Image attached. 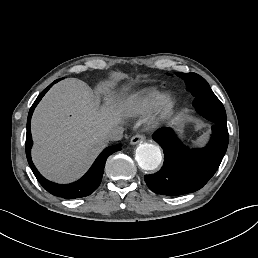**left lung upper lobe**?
Wrapping results in <instances>:
<instances>
[{"instance_id":"obj_1","label":"left lung upper lobe","mask_w":258,"mask_h":258,"mask_svg":"<svg viewBox=\"0 0 258 258\" xmlns=\"http://www.w3.org/2000/svg\"><path fill=\"white\" fill-rule=\"evenodd\" d=\"M176 75L184 79L187 86L186 89L190 91L194 97L200 92H212L207 81L196 73L177 72Z\"/></svg>"}]
</instances>
